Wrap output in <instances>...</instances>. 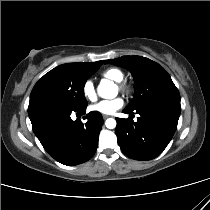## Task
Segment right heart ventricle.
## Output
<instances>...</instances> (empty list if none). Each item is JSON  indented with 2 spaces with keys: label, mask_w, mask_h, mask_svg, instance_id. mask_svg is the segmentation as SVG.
I'll return each instance as SVG.
<instances>
[{
  "label": "right heart ventricle",
  "mask_w": 210,
  "mask_h": 210,
  "mask_svg": "<svg viewBox=\"0 0 210 210\" xmlns=\"http://www.w3.org/2000/svg\"><path fill=\"white\" fill-rule=\"evenodd\" d=\"M101 77L112 81V82H121L124 78V74L120 69L117 68H107L102 71Z\"/></svg>",
  "instance_id": "obj_1"
}]
</instances>
